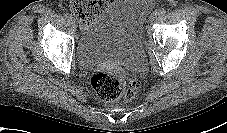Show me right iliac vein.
Segmentation results:
<instances>
[{
    "instance_id": "1",
    "label": "right iliac vein",
    "mask_w": 227,
    "mask_h": 133,
    "mask_svg": "<svg viewBox=\"0 0 227 133\" xmlns=\"http://www.w3.org/2000/svg\"><path fill=\"white\" fill-rule=\"evenodd\" d=\"M71 20H72L73 25L76 26V24H77L76 20L75 19H71Z\"/></svg>"
}]
</instances>
